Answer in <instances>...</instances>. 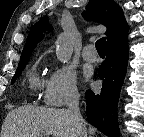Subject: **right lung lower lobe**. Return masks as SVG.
Returning <instances> with one entry per match:
<instances>
[{"label":"right lung lower lobe","mask_w":144,"mask_h":137,"mask_svg":"<svg viewBox=\"0 0 144 137\" xmlns=\"http://www.w3.org/2000/svg\"><path fill=\"white\" fill-rule=\"evenodd\" d=\"M107 58L99 67V77L103 80L99 94L86 92L87 118L90 123L109 137H119L117 103L128 62L127 39L108 47Z\"/></svg>","instance_id":"98d812e1"}]
</instances>
